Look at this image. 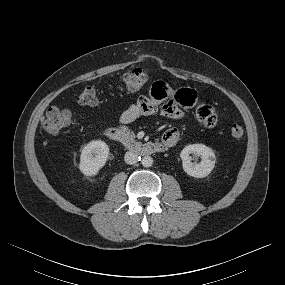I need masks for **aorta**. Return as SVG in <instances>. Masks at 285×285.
Listing matches in <instances>:
<instances>
[{"label": "aorta", "instance_id": "762f6f07", "mask_svg": "<svg viewBox=\"0 0 285 285\" xmlns=\"http://www.w3.org/2000/svg\"><path fill=\"white\" fill-rule=\"evenodd\" d=\"M141 164L144 166V167H151L152 164H153V159L152 157L150 156H144L141 160Z\"/></svg>", "mask_w": 285, "mask_h": 285}]
</instances>
